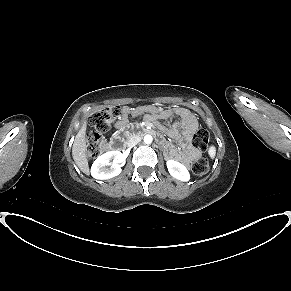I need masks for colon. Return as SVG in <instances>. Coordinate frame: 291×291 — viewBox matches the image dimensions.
<instances>
[{
    "instance_id": "obj_1",
    "label": "colon",
    "mask_w": 291,
    "mask_h": 291,
    "mask_svg": "<svg viewBox=\"0 0 291 291\" xmlns=\"http://www.w3.org/2000/svg\"><path fill=\"white\" fill-rule=\"evenodd\" d=\"M122 116V109L117 106L107 107L95 113L90 118L91 128L87 132V155L98 157L109 150V143L104 133ZM209 133L205 128L198 129L192 137V145L196 149H206L209 143ZM192 170L197 175H203L209 170V161L201 155L193 162Z\"/></svg>"
}]
</instances>
